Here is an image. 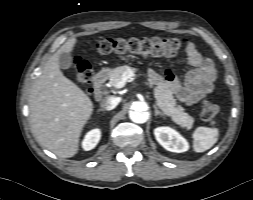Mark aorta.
<instances>
[{
  "instance_id": "762f6f07",
  "label": "aorta",
  "mask_w": 253,
  "mask_h": 200,
  "mask_svg": "<svg viewBox=\"0 0 253 200\" xmlns=\"http://www.w3.org/2000/svg\"><path fill=\"white\" fill-rule=\"evenodd\" d=\"M147 105L145 102L133 103L132 110L130 111L129 117L135 123H145L148 120V113L146 112Z\"/></svg>"
}]
</instances>
